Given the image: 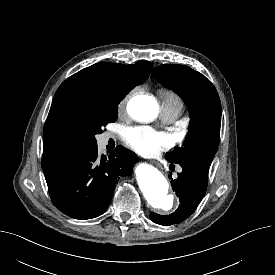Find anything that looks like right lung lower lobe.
<instances>
[{"instance_id": "right-lung-lower-lobe-1", "label": "right lung lower lobe", "mask_w": 275, "mask_h": 275, "mask_svg": "<svg viewBox=\"0 0 275 275\" xmlns=\"http://www.w3.org/2000/svg\"><path fill=\"white\" fill-rule=\"evenodd\" d=\"M138 162L135 153L122 146L99 156L97 146L81 149L45 173L53 204L75 219L103 214L113 195L117 177L129 176Z\"/></svg>"}]
</instances>
